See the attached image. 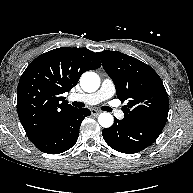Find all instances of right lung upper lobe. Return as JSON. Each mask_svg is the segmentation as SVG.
Segmentation results:
<instances>
[{"mask_svg": "<svg viewBox=\"0 0 193 193\" xmlns=\"http://www.w3.org/2000/svg\"><path fill=\"white\" fill-rule=\"evenodd\" d=\"M100 66L94 52L69 47L41 54L28 65L17 88V112L31 142L77 109L62 94L70 91L85 71Z\"/></svg>", "mask_w": 193, "mask_h": 193, "instance_id": "right-lung-upper-lobe-1", "label": "right lung upper lobe"}]
</instances>
